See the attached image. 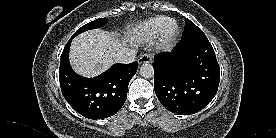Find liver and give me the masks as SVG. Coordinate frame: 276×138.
<instances>
[{"label": "liver", "instance_id": "liver-1", "mask_svg": "<svg viewBox=\"0 0 276 138\" xmlns=\"http://www.w3.org/2000/svg\"><path fill=\"white\" fill-rule=\"evenodd\" d=\"M122 44L101 29L84 32L73 39L70 47L72 68L84 77H93L107 70Z\"/></svg>", "mask_w": 276, "mask_h": 138}]
</instances>
